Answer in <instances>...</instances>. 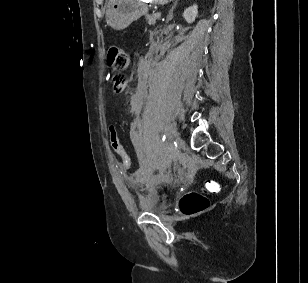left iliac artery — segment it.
I'll return each instance as SVG.
<instances>
[{"label": "left iliac artery", "instance_id": "left-iliac-artery-1", "mask_svg": "<svg viewBox=\"0 0 308 283\" xmlns=\"http://www.w3.org/2000/svg\"><path fill=\"white\" fill-rule=\"evenodd\" d=\"M167 137H168V130L166 129L162 138L163 142L166 140Z\"/></svg>", "mask_w": 308, "mask_h": 283}]
</instances>
